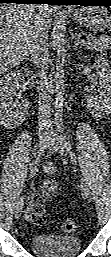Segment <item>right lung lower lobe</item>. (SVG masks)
I'll return each mask as SVG.
<instances>
[{"mask_svg": "<svg viewBox=\"0 0 111 257\" xmlns=\"http://www.w3.org/2000/svg\"><path fill=\"white\" fill-rule=\"evenodd\" d=\"M0 3H18V4H54L53 0H0Z\"/></svg>", "mask_w": 111, "mask_h": 257, "instance_id": "1", "label": "right lung lower lobe"}]
</instances>
